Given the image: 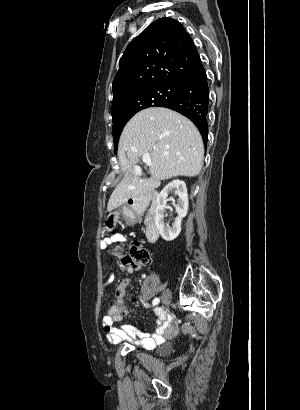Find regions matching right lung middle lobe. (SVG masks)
Listing matches in <instances>:
<instances>
[{
  "mask_svg": "<svg viewBox=\"0 0 300 410\" xmlns=\"http://www.w3.org/2000/svg\"><path fill=\"white\" fill-rule=\"evenodd\" d=\"M181 87L182 85H161L135 92L125 104L122 114L113 117L114 151H117L118 140L123 127L136 112L169 102L180 91Z\"/></svg>",
  "mask_w": 300,
  "mask_h": 410,
  "instance_id": "right-lung-middle-lobe-1",
  "label": "right lung middle lobe"
}]
</instances>
